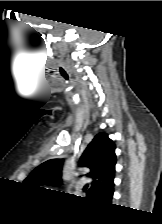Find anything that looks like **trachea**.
I'll list each match as a JSON object with an SVG mask.
<instances>
[{
    "label": "trachea",
    "mask_w": 162,
    "mask_h": 224,
    "mask_svg": "<svg viewBox=\"0 0 162 224\" xmlns=\"http://www.w3.org/2000/svg\"><path fill=\"white\" fill-rule=\"evenodd\" d=\"M87 188H88V186L86 185V186H84L83 190H84V191H86V190H87Z\"/></svg>",
    "instance_id": "3493384b"
}]
</instances>
